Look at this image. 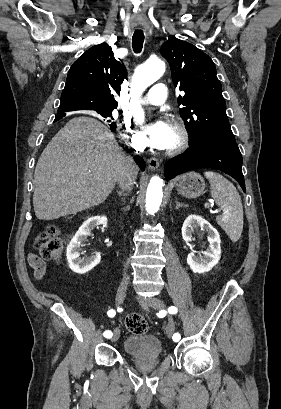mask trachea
I'll use <instances>...</instances> for the list:
<instances>
[{"mask_svg": "<svg viewBox=\"0 0 281 409\" xmlns=\"http://www.w3.org/2000/svg\"><path fill=\"white\" fill-rule=\"evenodd\" d=\"M144 43V33L135 31L132 37V47L135 53H140Z\"/></svg>", "mask_w": 281, "mask_h": 409, "instance_id": "3493384b", "label": "trachea"}]
</instances>
